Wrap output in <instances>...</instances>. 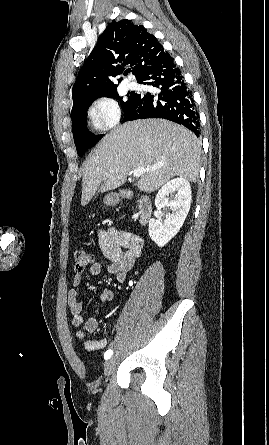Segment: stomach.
I'll return each instance as SVG.
<instances>
[{
	"label": "stomach",
	"instance_id": "0dacf381",
	"mask_svg": "<svg viewBox=\"0 0 269 445\" xmlns=\"http://www.w3.org/2000/svg\"><path fill=\"white\" fill-rule=\"evenodd\" d=\"M119 202V196L114 193H110L105 196L104 203L108 206L116 205Z\"/></svg>",
	"mask_w": 269,
	"mask_h": 445
}]
</instances>
